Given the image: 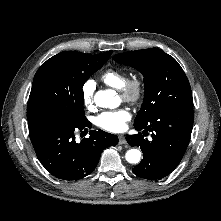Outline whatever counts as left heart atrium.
I'll list each match as a JSON object with an SVG mask.
<instances>
[{
  "label": "left heart atrium",
  "instance_id": "left-heart-atrium-1",
  "mask_svg": "<svg viewBox=\"0 0 221 221\" xmlns=\"http://www.w3.org/2000/svg\"><path fill=\"white\" fill-rule=\"evenodd\" d=\"M131 119L130 112L125 109L102 112L96 118V124L101 129L109 132H121L125 129L126 123Z\"/></svg>",
  "mask_w": 221,
  "mask_h": 221
}]
</instances>
